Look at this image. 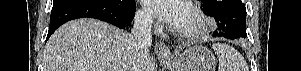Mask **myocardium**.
Wrapping results in <instances>:
<instances>
[{
    "mask_svg": "<svg viewBox=\"0 0 301 71\" xmlns=\"http://www.w3.org/2000/svg\"><path fill=\"white\" fill-rule=\"evenodd\" d=\"M186 7L193 18V24L186 28L178 29L176 33L186 39L196 38L208 30L209 22L205 14L197 7L192 4H188Z\"/></svg>",
    "mask_w": 301,
    "mask_h": 71,
    "instance_id": "obj_1",
    "label": "myocardium"
}]
</instances>
